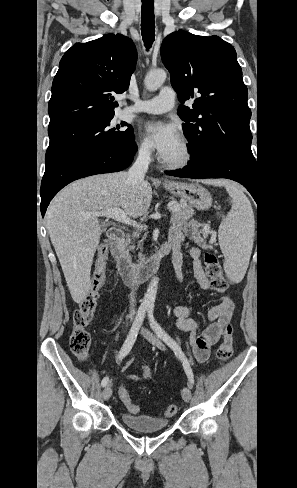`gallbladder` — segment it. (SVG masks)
<instances>
[{"instance_id": "obj_1", "label": "gallbladder", "mask_w": 297, "mask_h": 488, "mask_svg": "<svg viewBox=\"0 0 297 488\" xmlns=\"http://www.w3.org/2000/svg\"><path fill=\"white\" fill-rule=\"evenodd\" d=\"M101 227H102V229H103V230H105V229H106L105 224H102V225H101Z\"/></svg>"}]
</instances>
